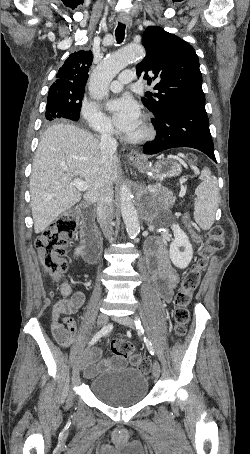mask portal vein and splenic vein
<instances>
[{
  "mask_svg": "<svg viewBox=\"0 0 250 454\" xmlns=\"http://www.w3.org/2000/svg\"><path fill=\"white\" fill-rule=\"evenodd\" d=\"M72 184L79 190V191H86L88 189V184L81 180V179H77L75 178L72 182ZM183 194L180 193V197H182Z\"/></svg>",
  "mask_w": 250,
  "mask_h": 454,
  "instance_id": "portal-vein-and-splenic-vein-1",
  "label": "portal vein and splenic vein"
}]
</instances>
